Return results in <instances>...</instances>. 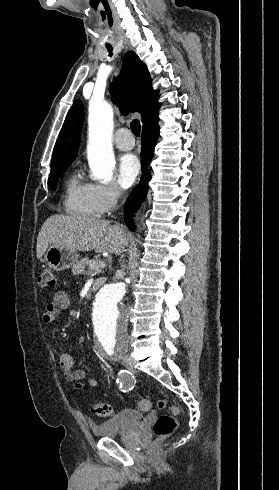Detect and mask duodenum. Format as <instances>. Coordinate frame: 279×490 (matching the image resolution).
Instances as JSON below:
<instances>
[{"label":"duodenum","mask_w":279,"mask_h":490,"mask_svg":"<svg viewBox=\"0 0 279 490\" xmlns=\"http://www.w3.org/2000/svg\"><path fill=\"white\" fill-rule=\"evenodd\" d=\"M104 284V280L103 279H97L93 282V284L91 285V288H90V292L91 293H94L96 291H98L102 285Z\"/></svg>","instance_id":"obj_1"}]
</instances>
